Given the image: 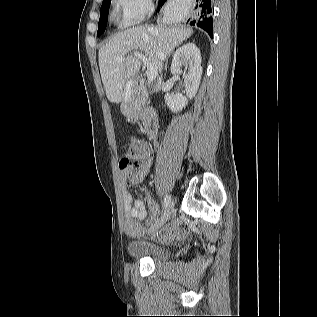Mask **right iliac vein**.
<instances>
[{
	"mask_svg": "<svg viewBox=\"0 0 317 317\" xmlns=\"http://www.w3.org/2000/svg\"><path fill=\"white\" fill-rule=\"evenodd\" d=\"M173 207H174V202L171 201L168 207L166 208V210L164 211L162 217L157 221V223L154 226H152L149 229L150 233L158 230L170 218V215L173 211Z\"/></svg>",
	"mask_w": 317,
	"mask_h": 317,
	"instance_id": "right-iliac-vein-1",
	"label": "right iliac vein"
}]
</instances>
